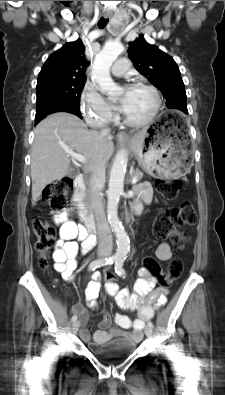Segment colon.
<instances>
[{"label":"colon","instance_id":"colon-1","mask_svg":"<svg viewBox=\"0 0 225 395\" xmlns=\"http://www.w3.org/2000/svg\"><path fill=\"white\" fill-rule=\"evenodd\" d=\"M181 180L158 179L155 181L157 191L166 199H175L182 189ZM73 188V179L64 177L49 184L42 195L43 202L47 203L53 212H63L67 207V197ZM196 222L194 207L189 202H183L179 206L159 213L154 225L153 234L158 238H171L176 248L181 249L187 242L186 233L182 230L185 226ZM36 238L35 249L38 254V264L41 269L48 267V255L56 239V229L45 221L35 219L32 224ZM141 272H150L154 281H159L161 288H173L176 280L182 272L180 259H173L164 272L157 261L149 255L142 259ZM108 278L104 279V285L118 283L117 272H108Z\"/></svg>","mask_w":225,"mask_h":395}]
</instances>
